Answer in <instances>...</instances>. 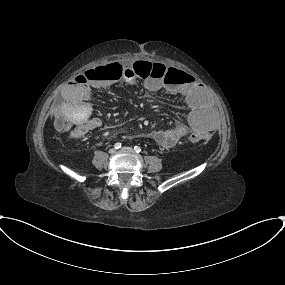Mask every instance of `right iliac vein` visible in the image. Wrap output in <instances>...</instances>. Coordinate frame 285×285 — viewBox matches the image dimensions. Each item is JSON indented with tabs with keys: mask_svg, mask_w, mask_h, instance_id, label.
<instances>
[{
	"mask_svg": "<svg viewBox=\"0 0 285 285\" xmlns=\"http://www.w3.org/2000/svg\"><path fill=\"white\" fill-rule=\"evenodd\" d=\"M115 152H116V150L114 148L109 149L110 154H114Z\"/></svg>",
	"mask_w": 285,
	"mask_h": 285,
	"instance_id": "63e3f726",
	"label": "right iliac vein"
}]
</instances>
